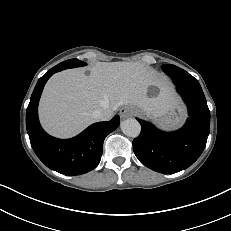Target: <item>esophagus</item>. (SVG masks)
<instances>
[{"label":"esophagus","mask_w":231,"mask_h":231,"mask_svg":"<svg viewBox=\"0 0 231 231\" xmlns=\"http://www.w3.org/2000/svg\"><path fill=\"white\" fill-rule=\"evenodd\" d=\"M132 114H133V109L129 106H125L120 109V115L122 118H128Z\"/></svg>","instance_id":"esophagus-1"}]
</instances>
